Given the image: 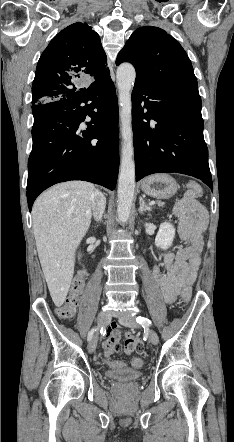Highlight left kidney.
Listing matches in <instances>:
<instances>
[{"instance_id": "1", "label": "left kidney", "mask_w": 234, "mask_h": 442, "mask_svg": "<svg viewBox=\"0 0 234 442\" xmlns=\"http://www.w3.org/2000/svg\"><path fill=\"white\" fill-rule=\"evenodd\" d=\"M175 236V228L169 222L160 225L159 231L155 238V245L161 249H167L173 242Z\"/></svg>"}]
</instances>
